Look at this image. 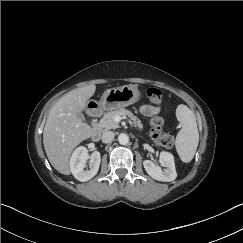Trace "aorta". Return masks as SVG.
Returning a JSON list of instances; mask_svg holds the SVG:
<instances>
[{"instance_id":"obj_1","label":"aorta","mask_w":243,"mask_h":243,"mask_svg":"<svg viewBox=\"0 0 243 243\" xmlns=\"http://www.w3.org/2000/svg\"><path fill=\"white\" fill-rule=\"evenodd\" d=\"M118 141L121 145H126L129 142V136L125 133H121L118 136Z\"/></svg>"}]
</instances>
